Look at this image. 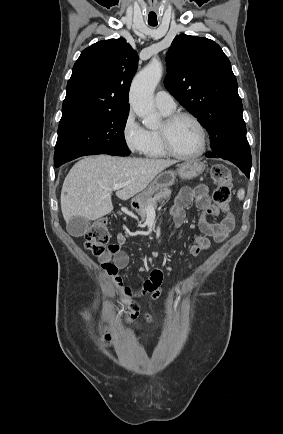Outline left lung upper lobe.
I'll list each match as a JSON object with an SVG mask.
<instances>
[{
  "mask_svg": "<svg viewBox=\"0 0 283 434\" xmlns=\"http://www.w3.org/2000/svg\"><path fill=\"white\" fill-rule=\"evenodd\" d=\"M165 86L210 135L212 152L238 165L252 162L243 106L231 63L214 41L180 34L168 50Z\"/></svg>",
  "mask_w": 283,
  "mask_h": 434,
  "instance_id": "obj_1",
  "label": "left lung upper lobe"
}]
</instances>
